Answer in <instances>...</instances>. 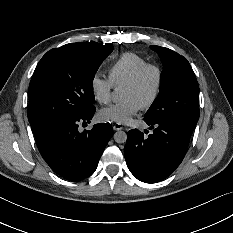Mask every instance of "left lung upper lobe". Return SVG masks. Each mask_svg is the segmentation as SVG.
Returning a JSON list of instances; mask_svg holds the SVG:
<instances>
[{"instance_id":"left-lung-upper-lobe-1","label":"left lung upper lobe","mask_w":233,"mask_h":233,"mask_svg":"<svg viewBox=\"0 0 233 233\" xmlns=\"http://www.w3.org/2000/svg\"><path fill=\"white\" fill-rule=\"evenodd\" d=\"M163 62L160 91L144 120L150 124L181 122L196 125L199 119V85L189 62L178 53L150 46Z\"/></svg>"}]
</instances>
